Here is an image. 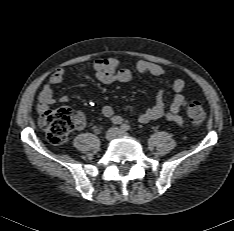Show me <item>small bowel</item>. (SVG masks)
Masks as SVG:
<instances>
[{
  "label": "small bowel",
  "instance_id": "obj_1",
  "mask_svg": "<svg viewBox=\"0 0 234 231\" xmlns=\"http://www.w3.org/2000/svg\"><path fill=\"white\" fill-rule=\"evenodd\" d=\"M94 75L98 81L104 84H111L114 82H127L132 78V72L129 69L120 68V62L113 57H103L95 59L91 64ZM136 70L142 74H149L153 76H164L166 70L152 62L139 61L136 64ZM65 76L64 69L56 70L44 84L41 92L39 93L38 109L41 112L46 111L52 104L55 103L54 87L59 85ZM185 82L182 79H176L172 83V90L175 93L169 109L164 107V91L159 90L155 103L148 107L139 116V122L147 123L152 120L165 118L178 126H182L184 120L180 115L181 110L186 106L188 97L184 94ZM59 101L67 103L69 101L68 96H61ZM96 102L100 106L101 113L108 119L112 120L115 117L114 109L107 104L101 102L99 98H96ZM85 125L84 115L80 112L75 117V128L80 130Z\"/></svg>",
  "mask_w": 234,
  "mask_h": 231
}]
</instances>
